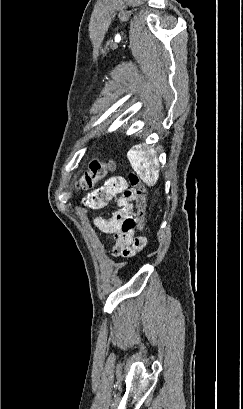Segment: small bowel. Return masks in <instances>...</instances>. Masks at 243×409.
Here are the masks:
<instances>
[{"label": "small bowel", "instance_id": "c3829d8e", "mask_svg": "<svg viewBox=\"0 0 243 409\" xmlns=\"http://www.w3.org/2000/svg\"><path fill=\"white\" fill-rule=\"evenodd\" d=\"M112 199L117 200L118 210L109 219L96 218L94 224L102 233L115 241L111 248L112 256L135 257L147 245V239L144 236H134L135 191L127 187L124 179L111 178L104 186L90 193L86 201L92 208H101Z\"/></svg>", "mask_w": 243, "mask_h": 409}]
</instances>
